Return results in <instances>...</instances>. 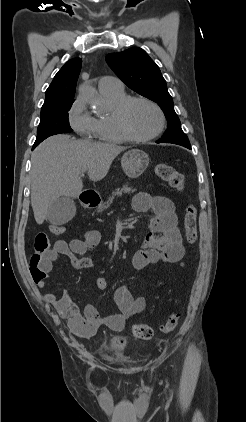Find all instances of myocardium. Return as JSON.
<instances>
[{"instance_id": "f54148a6", "label": "myocardium", "mask_w": 246, "mask_h": 422, "mask_svg": "<svg viewBox=\"0 0 246 422\" xmlns=\"http://www.w3.org/2000/svg\"><path fill=\"white\" fill-rule=\"evenodd\" d=\"M136 102H144L152 106L159 115V126L155 132L147 136L136 135L129 127L127 122V112L132 104ZM114 119L122 134L132 142H147L158 137L164 130L166 118L162 108L153 100L142 96H130L119 103L114 110Z\"/></svg>"}]
</instances>
